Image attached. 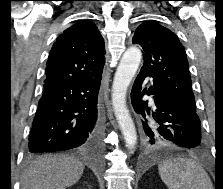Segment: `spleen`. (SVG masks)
<instances>
[{
	"label": "spleen",
	"instance_id": "spleen-1",
	"mask_svg": "<svg viewBox=\"0 0 223 189\" xmlns=\"http://www.w3.org/2000/svg\"><path fill=\"white\" fill-rule=\"evenodd\" d=\"M158 170L169 189H212L208 174L193 160H167L158 166Z\"/></svg>",
	"mask_w": 223,
	"mask_h": 189
}]
</instances>
